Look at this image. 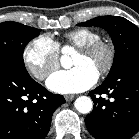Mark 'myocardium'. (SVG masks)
<instances>
[{
  "label": "myocardium",
  "mask_w": 139,
  "mask_h": 139,
  "mask_svg": "<svg viewBox=\"0 0 139 139\" xmlns=\"http://www.w3.org/2000/svg\"><path fill=\"white\" fill-rule=\"evenodd\" d=\"M78 51L84 54H95L99 51H103L105 54V60L103 65L101 66L98 76L102 77L108 74L115 61V48L113 44L105 39H97L95 41H92L90 43H87L81 47L78 48Z\"/></svg>",
  "instance_id": "obj_1"
}]
</instances>
